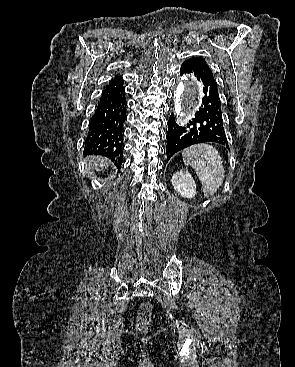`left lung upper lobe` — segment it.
Returning a JSON list of instances; mask_svg holds the SVG:
<instances>
[{"instance_id":"left-lung-upper-lobe-1","label":"left lung upper lobe","mask_w":295,"mask_h":367,"mask_svg":"<svg viewBox=\"0 0 295 367\" xmlns=\"http://www.w3.org/2000/svg\"><path fill=\"white\" fill-rule=\"evenodd\" d=\"M193 58L198 59V60H200V61H202V62H205V60H204V59H202V58H196V57H193ZM205 63H206V62H205Z\"/></svg>"}]
</instances>
